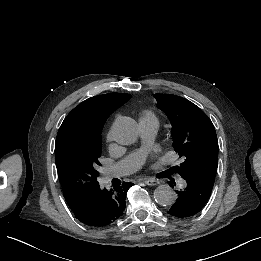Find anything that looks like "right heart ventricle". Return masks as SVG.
Segmentation results:
<instances>
[{
	"label": "right heart ventricle",
	"mask_w": 261,
	"mask_h": 261,
	"mask_svg": "<svg viewBox=\"0 0 261 261\" xmlns=\"http://www.w3.org/2000/svg\"><path fill=\"white\" fill-rule=\"evenodd\" d=\"M140 120H153V121H157V118H156V115L154 113L153 110L151 109H147V110H144L140 116Z\"/></svg>",
	"instance_id": "e07e8e85"
}]
</instances>
